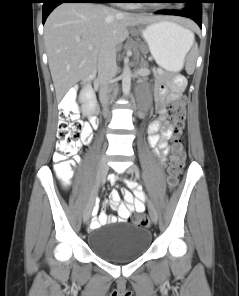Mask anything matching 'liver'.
I'll list each match as a JSON object with an SVG mask.
<instances>
[{
    "label": "liver",
    "mask_w": 239,
    "mask_h": 296,
    "mask_svg": "<svg viewBox=\"0 0 239 296\" xmlns=\"http://www.w3.org/2000/svg\"><path fill=\"white\" fill-rule=\"evenodd\" d=\"M161 17L122 13L95 3H63L48 16L44 42L48 64L60 100L80 80L92 75L102 51L129 36L128 27ZM93 45V49H88Z\"/></svg>",
    "instance_id": "1"
}]
</instances>
